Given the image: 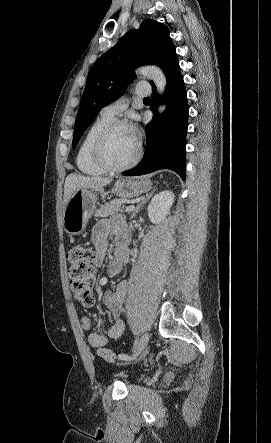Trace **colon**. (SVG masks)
Masks as SVG:
<instances>
[{"label":"colon","instance_id":"obj_1","mask_svg":"<svg viewBox=\"0 0 271 443\" xmlns=\"http://www.w3.org/2000/svg\"><path fill=\"white\" fill-rule=\"evenodd\" d=\"M66 257L70 265L69 279L74 297L83 306L92 307L95 302L93 294L95 283L94 251L86 244H77L69 248ZM98 355L108 362L116 360L115 354L108 348H100Z\"/></svg>","mask_w":271,"mask_h":443}]
</instances>
